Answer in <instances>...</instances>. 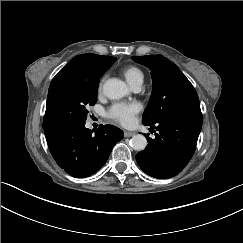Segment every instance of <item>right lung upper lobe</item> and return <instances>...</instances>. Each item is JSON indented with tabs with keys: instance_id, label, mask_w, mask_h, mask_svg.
<instances>
[{
	"instance_id": "1",
	"label": "right lung upper lobe",
	"mask_w": 243,
	"mask_h": 243,
	"mask_svg": "<svg viewBox=\"0 0 243 243\" xmlns=\"http://www.w3.org/2000/svg\"><path fill=\"white\" fill-rule=\"evenodd\" d=\"M116 61V57L81 54L69 61L53 78L50 86L58 80L69 76H83L86 78L101 77Z\"/></svg>"
}]
</instances>
